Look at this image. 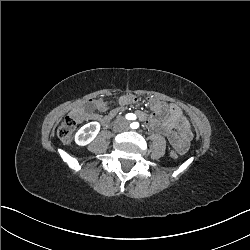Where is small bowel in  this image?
I'll return each mask as SVG.
<instances>
[{"label":"small bowel","instance_id":"c3829d8e","mask_svg":"<svg viewBox=\"0 0 250 250\" xmlns=\"http://www.w3.org/2000/svg\"><path fill=\"white\" fill-rule=\"evenodd\" d=\"M137 101L138 99L135 96L122 95L119 98V105L125 106ZM91 106L93 110L105 111L109 105L105 100L98 99L92 101ZM148 106L152 109L153 113L146 117L144 113L138 112V117L146 119V123L152 130L162 133L180 153H184L188 149L193 133L182 110L177 105L167 104L153 98L148 100ZM72 116L78 121L102 120V117L98 114L87 112L84 109H76L73 111Z\"/></svg>","mask_w":250,"mask_h":250}]
</instances>
